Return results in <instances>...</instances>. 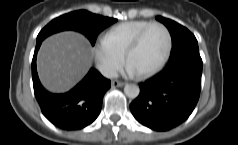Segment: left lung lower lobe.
I'll list each match as a JSON object with an SVG mask.
<instances>
[{"label": "left lung lower lobe", "mask_w": 238, "mask_h": 145, "mask_svg": "<svg viewBox=\"0 0 238 145\" xmlns=\"http://www.w3.org/2000/svg\"><path fill=\"white\" fill-rule=\"evenodd\" d=\"M202 59L199 51L182 54L140 84L139 96L130 104L133 116L156 131L170 130L188 119L200 95Z\"/></svg>", "instance_id": "left-lung-lower-lobe-1"}]
</instances>
